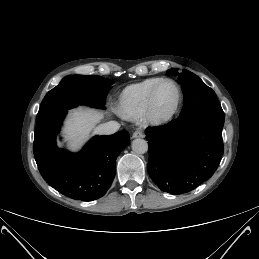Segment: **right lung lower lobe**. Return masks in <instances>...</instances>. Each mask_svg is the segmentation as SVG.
Listing matches in <instances>:
<instances>
[{
    "instance_id": "right-lung-lower-lobe-1",
    "label": "right lung lower lobe",
    "mask_w": 259,
    "mask_h": 259,
    "mask_svg": "<svg viewBox=\"0 0 259 259\" xmlns=\"http://www.w3.org/2000/svg\"><path fill=\"white\" fill-rule=\"evenodd\" d=\"M67 110L37 119L33 153L44 180L61 194L80 201H93L105 195L115 177V162L130 143L129 133L95 136L79 153L56 145Z\"/></svg>"
}]
</instances>
